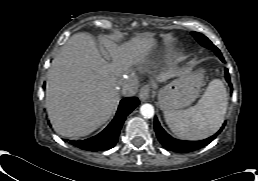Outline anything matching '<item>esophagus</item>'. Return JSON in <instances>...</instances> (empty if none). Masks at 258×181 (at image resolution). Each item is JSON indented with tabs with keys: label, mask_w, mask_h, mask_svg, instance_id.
Instances as JSON below:
<instances>
[{
	"label": "esophagus",
	"mask_w": 258,
	"mask_h": 181,
	"mask_svg": "<svg viewBox=\"0 0 258 181\" xmlns=\"http://www.w3.org/2000/svg\"><path fill=\"white\" fill-rule=\"evenodd\" d=\"M150 92H151V87L150 85H144L140 92H139V98L142 102H146L150 96Z\"/></svg>",
	"instance_id": "34e87169"
}]
</instances>
